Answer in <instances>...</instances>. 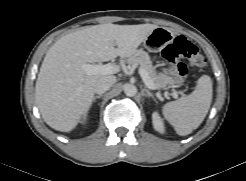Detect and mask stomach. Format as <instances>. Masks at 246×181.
Returning <instances> with one entry per match:
<instances>
[{
  "instance_id": "stomach-1",
  "label": "stomach",
  "mask_w": 246,
  "mask_h": 181,
  "mask_svg": "<svg viewBox=\"0 0 246 181\" xmlns=\"http://www.w3.org/2000/svg\"><path fill=\"white\" fill-rule=\"evenodd\" d=\"M173 32L165 27H157L145 39V47L151 51H160L163 47L173 41Z\"/></svg>"
}]
</instances>
